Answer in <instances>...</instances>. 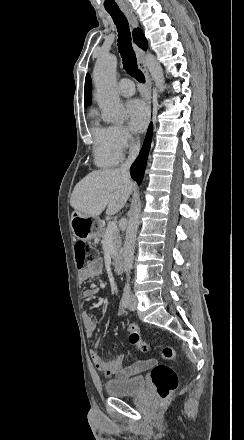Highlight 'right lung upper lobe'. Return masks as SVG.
Instances as JSON below:
<instances>
[{
    "instance_id": "right-lung-upper-lobe-1",
    "label": "right lung upper lobe",
    "mask_w": 244,
    "mask_h": 440,
    "mask_svg": "<svg viewBox=\"0 0 244 440\" xmlns=\"http://www.w3.org/2000/svg\"><path fill=\"white\" fill-rule=\"evenodd\" d=\"M133 39L134 42L139 47H141L144 50L147 49V40L139 28L133 30ZM91 90H92L91 77L89 74H87L85 79V89H84L85 106H87L91 102Z\"/></svg>"
}]
</instances>
